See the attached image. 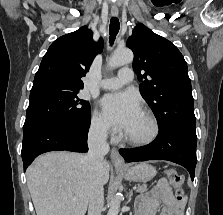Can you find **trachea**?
<instances>
[{
    "instance_id": "trachea-1",
    "label": "trachea",
    "mask_w": 223,
    "mask_h": 215,
    "mask_svg": "<svg viewBox=\"0 0 223 215\" xmlns=\"http://www.w3.org/2000/svg\"><path fill=\"white\" fill-rule=\"evenodd\" d=\"M119 29H120V23L118 18L112 17L109 25V34H110L109 43L111 46L114 44Z\"/></svg>"
}]
</instances>
